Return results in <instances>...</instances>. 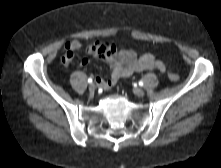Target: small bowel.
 Listing matches in <instances>:
<instances>
[{
	"mask_svg": "<svg viewBox=\"0 0 221 168\" xmlns=\"http://www.w3.org/2000/svg\"><path fill=\"white\" fill-rule=\"evenodd\" d=\"M81 47L82 44L78 40L67 42L62 63L69 64L75 56V51ZM86 51L97 58L105 60L111 69V77L109 79L96 78V83L103 89L113 87L118 80L129 77L134 73L145 70H158L160 72H165L166 70L165 63L151 53L138 54L134 50L118 49L113 43L109 42L91 43L86 47ZM88 63L89 60L87 58H82L80 61L82 66L88 65Z\"/></svg>",
	"mask_w": 221,
	"mask_h": 168,
	"instance_id": "obj_1",
	"label": "small bowel"
}]
</instances>
